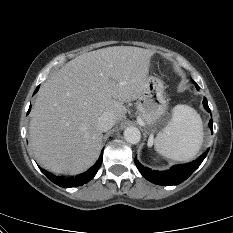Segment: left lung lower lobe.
Wrapping results in <instances>:
<instances>
[{"mask_svg": "<svg viewBox=\"0 0 233 233\" xmlns=\"http://www.w3.org/2000/svg\"><path fill=\"white\" fill-rule=\"evenodd\" d=\"M196 88L199 90L198 86H196ZM203 105L208 112H211L206 98L203 100ZM209 127L211 130L213 129L212 120L209 121ZM206 155L207 152L203 153L199 158L189 164L176 165L164 172L152 171L149 168L143 167L136 159L135 164L148 181L157 185H177L186 180L200 166Z\"/></svg>", "mask_w": 233, "mask_h": 233, "instance_id": "1", "label": "left lung lower lobe"}]
</instances>
